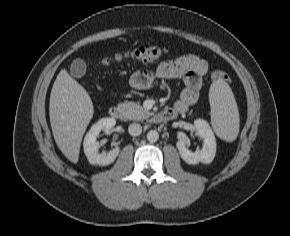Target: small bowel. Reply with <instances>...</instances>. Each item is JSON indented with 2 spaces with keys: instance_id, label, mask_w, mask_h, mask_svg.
<instances>
[{
  "instance_id": "1",
  "label": "small bowel",
  "mask_w": 290,
  "mask_h": 236,
  "mask_svg": "<svg viewBox=\"0 0 290 236\" xmlns=\"http://www.w3.org/2000/svg\"><path fill=\"white\" fill-rule=\"evenodd\" d=\"M208 68V63L202 56L197 53H187L161 62L152 72H135L130 82L132 87L142 90L149 88L156 80L181 78L185 87L174 108L186 110L197 102L203 77L208 72Z\"/></svg>"
}]
</instances>
